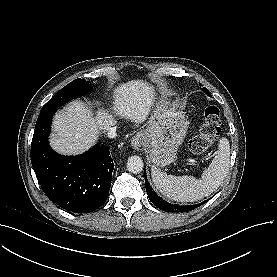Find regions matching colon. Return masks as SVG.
<instances>
[{
    "instance_id": "1",
    "label": "colon",
    "mask_w": 277,
    "mask_h": 277,
    "mask_svg": "<svg viewBox=\"0 0 277 277\" xmlns=\"http://www.w3.org/2000/svg\"><path fill=\"white\" fill-rule=\"evenodd\" d=\"M221 113L216 105H210L205 109L204 119L199 127V132L194 136L189 148L191 152L200 156L207 152L211 144L218 138L221 131Z\"/></svg>"
}]
</instances>
